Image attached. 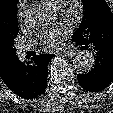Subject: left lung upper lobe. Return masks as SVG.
Listing matches in <instances>:
<instances>
[{
  "label": "left lung upper lobe",
  "instance_id": "obj_1",
  "mask_svg": "<svg viewBox=\"0 0 113 113\" xmlns=\"http://www.w3.org/2000/svg\"><path fill=\"white\" fill-rule=\"evenodd\" d=\"M84 18L73 38L87 43L106 38L113 39V14L105 0H82Z\"/></svg>",
  "mask_w": 113,
  "mask_h": 113
}]
</instances>
